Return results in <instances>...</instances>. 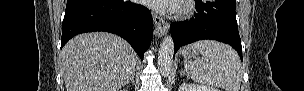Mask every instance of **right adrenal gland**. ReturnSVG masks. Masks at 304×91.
Segmentation results:
<instances>
[{"label": "right adrenal gland", "instance_id": "2a0ac1e0", "mask_svg": "<svg viewBox=\"0 0 304 91\" xmlns=\"http://www.w3.org/2000/svg\"><path fill=\"white\" fill-rule=\"evenodd\" d=\"M134 75H135V74H134ZM134 75H133V76L130 78V80L127 82L128 84H129V83H132V84L134 83Z\"/></svg>", "mask_w": 304, "mask_h": 91}]
</instances>
